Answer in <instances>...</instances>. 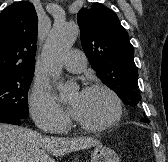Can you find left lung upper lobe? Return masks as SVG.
Instances as JSON below:
<instances>
[{"label":"left lung upper lobe","instance_id":"5c2ea615","mask_svg":"<svg viewBox=\"0 0 168 162\" xmlns=\"http://www.w3.org/2000/svg\"><path fill=\"white\" fill-rule=\"evenodd\" d=\"M77 22L83 50L98 77L125 104L137 106L141 95L134 48L117 15L102 4L94 3L91 8L78 12Z\"/></svg>","mask_w":168,"mask_h":162}]
</instances>
